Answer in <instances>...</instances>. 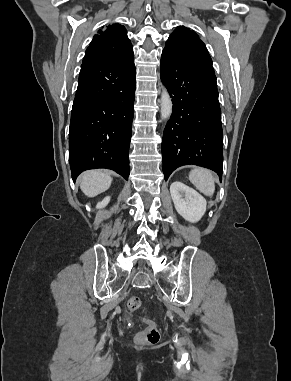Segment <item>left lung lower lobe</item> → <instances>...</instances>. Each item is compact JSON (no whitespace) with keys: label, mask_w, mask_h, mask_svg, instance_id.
Wrapping results in <instances>:
<instances>
[{"label":"left lung lower lobe","mask_w":291,"mask_h":381,"mask_svg":"<svg viewBox=\"0 0 291 381\" xmlns=\"http://www.w3.org/2000/svg\"><path fill=\"white\" fill-rule=\"evenodd\" d=\"M161 80L173 101L162 140L165 180L182 165L214 170L220 180L223 132L216 77L203 74L162 52Z\"/></svg>","instance_id":"left-lung-lower-lobe-1"}]
</instances>
